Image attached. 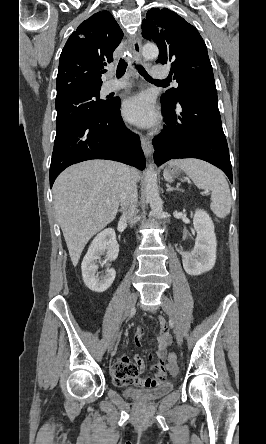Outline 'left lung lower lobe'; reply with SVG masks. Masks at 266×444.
<instances>
[{
	"instance_id": "0a47b994",
	"label": "left lung lower lobe",
	"mask_w": 266,
	"mask_h": 444,
	"mask_svg": "<svg viewBox=\"0 0 266 444\" xmlns=\"http://www.w3.org/2000/svg\"><path fill=\"white\" fill-rule=\"evenodd\" d=\"M166 126L153 140L159 166L170 159L198 158L220 168L232 182V167L222 129L217 96L181 99L178 106L162 104Z\"/></svg>"
}]
</instances>
